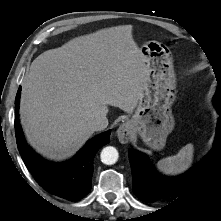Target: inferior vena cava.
I'll list each match as a JSON object with an SVG mask.
<instances>
[{
  "instance_id": "obj_1",
  "label": "inferior vena cava",
  "mask_w": 221,
  "mask_h": 221,
  "mask_svg": "<svg viewBox=\"0 0 221 221\" xmlns=\"http://www.w3.org/2000/svg\"><path fill=\"white\" fill-rule=\"evenodd\" d=\"M90 126L93 129V131L104 130L108 126V119L106 115H96L95 118L91 121Z\"/></svg>"
}]
</instances>
